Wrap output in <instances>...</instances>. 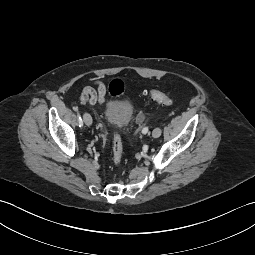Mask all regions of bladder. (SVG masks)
I'll use <instances>...</instances> for the list:
<instances>
[{"label":"bladder","instance_id":"obj_1","mask_svg":"<svg viewBox=\"0 0 255 255\" xmlns=\"http://www.w3.org/2000/svg\"><path fill=\"white\" fill-rule=\"evenodd\" d=\"M104 117L111 126L125 128L133 120V105L127 99H111L105 104Z\"/></svg>","mask_w":255,"mask_h":255}]
</instances>
